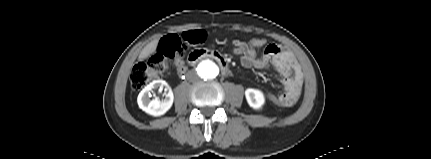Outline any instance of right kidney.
I'll list each match as a JSON object with an SVG mask.
<instances>
[{
	"mask_svg": "<svg viewBox=\"0 0 431 159\" xmlns=\"http://www.w3.org/2000/svg\"><path fill=\"white\" fill-rule=\"evenodd\" d=\"M168 90L165 94V98L160 100L158 97L150 99L151 92L155 90ZM174 101V95L169 85L164 80H154L148 84L138 95L137 103L139 108L145 111L147 114L152 116H161L165 114L172 106Z\"/></svg>",
	"mask_w": 431,
	"mask_h": 159,
	"instance_id": "obj_1",
	"label": "right kidney"
}]
</instances>
